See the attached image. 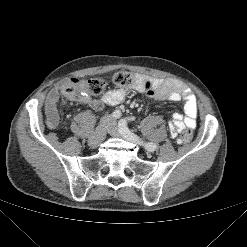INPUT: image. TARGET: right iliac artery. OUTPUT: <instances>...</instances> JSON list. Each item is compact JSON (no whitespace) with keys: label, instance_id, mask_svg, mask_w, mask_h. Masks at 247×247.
Masks as SVG:
<instances>
[{"label":"right iliac artery","instance_id":"right-iliac-artery-1","mask_svg":"<svg viewBox=\"0 0 247 247\" xmlns=\"http://www.w3.org/2000/svg\"><path fill=\"white\" fill-rule=\"evenodd\" d=\"M121 116V112L119 110H115L113 113H112V118L114 119H117Z\"/></svg>","mask_w":247,"mask_h":247}]
</instances>
